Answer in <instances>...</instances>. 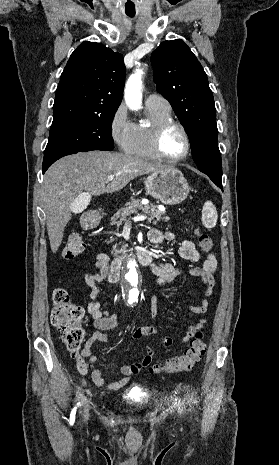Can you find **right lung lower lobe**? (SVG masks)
I'll return each mask as SVG.
<instances>
[{
    "label": "right lung lower lobe",
    "mask_w": 279,
    "mask_h": 465,
    "mask_svg": "<svg viewBox=\"0 0 279 465\" xmlns=\"http://www.w3.org/2000/svg\"><path fill=\"white\" fill-rule=\"evenodd\" d=\"M91 150H103V149H96V148H95V149H89V150H87V151H91ZM85 152H86V151H85ZM48 167H49V166H46V167H43V168H42L43 173L48 169Z\"/></svg>",
    "instance_id": "98d812e1"
}]
</instances>
